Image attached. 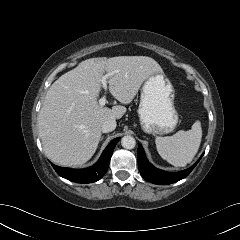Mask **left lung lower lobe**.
<instances>
[{"label":"left lung lower lobe","mask_w":240,"mask_h":240,"mask_svg":"<svg viewBox=\"0 0 240 240\" xmlns=\"http://www.w3.org/2000/svg\"><path fill=\"white\" fill-rule=\"evenodd\" d=\"M199 160L189 169L177 173H169L157 169L153 165H151L145 156L142 146L141 145L138 146V167L140 170V174L145 180L154 184H172L187 177L190 174V172L194 169V167L197 165Z\"/></svg>","instance_id":"obj_1"}]
</instances>
